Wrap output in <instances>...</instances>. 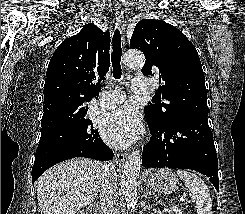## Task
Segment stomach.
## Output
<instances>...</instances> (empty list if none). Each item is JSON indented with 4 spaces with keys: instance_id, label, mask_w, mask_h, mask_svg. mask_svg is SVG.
Wrapping results in <instances>:
<instances>
[{
    "instance_id": "stomach-1",
    "label": "stomach",
    "mask_w": 245,
    "mask_h": 214,
    "mask_svg": "<svg viewBox=\"0 0 245 214\" xmlns=\"http://www.w3.org/2000/svg\"><path fill=\"white\" fill-rule=\"evenodd\" d=\"M146 176L148 186L158 193H172L179 187V180L170 169L149 170Z\"/></svg>"
}]
</instances>
